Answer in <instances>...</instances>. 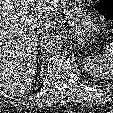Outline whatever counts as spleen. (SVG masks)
I'll list each match as a JSON object with an SVG mask.
<instances>
[{"instance_id": "1", "label": "spleen", "mask_w": 113, "mask_h": 113, "mask_svg": "<svg viewBox=\"0 0 113 113\" xmlns=\"http://www.w3.org/2000/svg\"><path fill=\"white\" fill-rule=\"evenodd\" d=\"M84 63V69L96 78L105 80L113 79V42L106 46L103 56H87Z\"/></svg>"}]
</instances>
